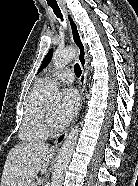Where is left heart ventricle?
I'll use <instances>...</instances> for the list:
<instances>
[{
	"label": "left heart ventricle",
	"mask_w": 138,
	"mask_h": 186,
	"mask_svg": "<svg viewBox=\"0 0 138 186\" xmlns=\"http://www.w3.org/2000/svg\"><path fill=\"white\" fill-rule=\"evenodd\" d=\"M48 112L53 117L56 113V107H49Z\"/></svg>",
	"instance_id": "b2bd125f"
}]
</instances>
